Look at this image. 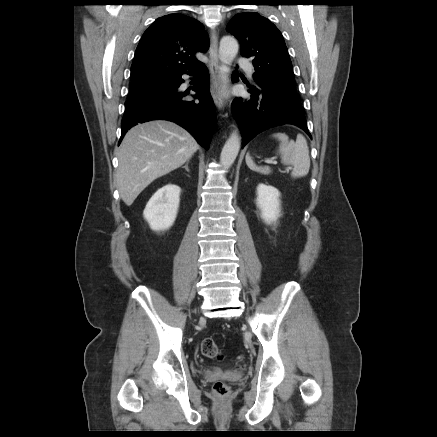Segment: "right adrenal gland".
<instances>
[{"label":"right adrenal gland","instance_id":"2a0ac1e0","mask_svg":"<svg viewBox=\"0 0 437 437\" xmlns=\"http://www.w3.org/2000/svg\"><path fill=\"white\" fill-rule=\"evenodd\" d=\"M188 164H189V161H187L186 164L183 166V168H185V170L187 172H189Z\"/></svg>","mask_w":437,"mask_h":437}]
</instances>
